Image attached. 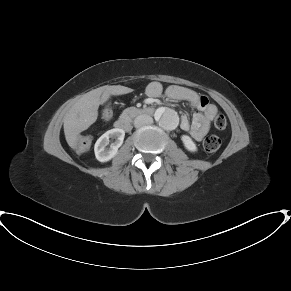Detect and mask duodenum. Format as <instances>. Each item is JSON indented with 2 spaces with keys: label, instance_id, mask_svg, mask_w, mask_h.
Here are the masks:
<instances>
[{
  "label": "duodenum",
  "instance_id": "duodenum-1",
  "mask_svg": "<svg viewBox=\"0 0 291 291\" xmlns=\"http://www.w3.org/2000/svg\"><path fill=\"white\" fill-rule=\"evenodd\" d=\"M154 112L155 110L150 107L130 110L125 115H123L122 117L118 119V121L116 122V128L119 131L127 132L130 129V121H129L130 116H133V115L148 116V115L154 114Z\"/></svg>",
  "mask_w": 291,
  "mask_h": 291
}]
</instances>
